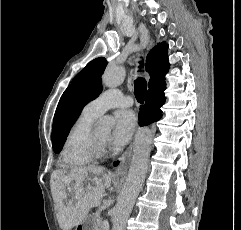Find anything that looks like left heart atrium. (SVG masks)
<instances>
[{"label":"left heart atrium","mask_w":241,"mask_h":230,"mask_svg":"<svg viewBox=\"0 0 241 230\" xmlns=\"http://www.w3.org/2000/svg\"><path fill=\"white\" fill-rule=\"evenodd\" d=\"M115 126L110 138L114 146H122L130 141L136 128V116L133 111L121 109L115 113Z\"/></svg>","instance_id":"obj_1"}]
</instances>
